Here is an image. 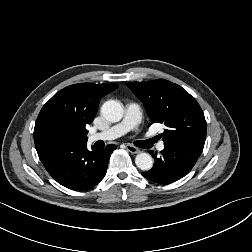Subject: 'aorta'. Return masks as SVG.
<instances>
[{
	"instance_id": "762f6f07",
	"label": "aorta",
	"mask_w": 252,
	"mask_h": 252,
	"mask_svg": "<svg viewBox=\"0 0 252 252\" xmlns=\"http://www.w3.org/2000/svg\"><path fill=\"white\" fill-rule=\"evenodd\" d=\"M101 115L109 122L115 123L123 117V107L115 100L106 101L101 107ZM136 166L143 170H150L153 166V159L148 153H139L135 157Z\"/></svg>"
}]
</instances>
